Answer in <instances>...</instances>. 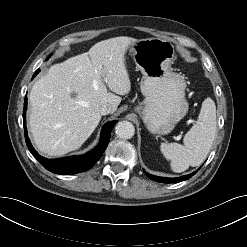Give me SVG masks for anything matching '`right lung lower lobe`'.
<instances>
[{
	"mask_svg": "<svg viewBox=\"0 0 247 247\" xmlns=\"http://www.w3.org/2000/svg\"><path fill=\"white\" fill-rule=\"evenodd\" d=\"M37 73H34L33 78L36 76ZM27 97H25L24 101V108H23V121H24V134H25V141L26 144L31 152V154L49 171L56 173V174H62V175H68V174H76L80 172H84L86 170H89L94 166V164L99 160V158L102 156L103 152L108 146L109 140H110V134L111 131L117 121H112L108 124H106L102 130L101 140L100 143L89 153L83 156H72V157H66L61 159H46L44 157H41L38 155V153L34 150L32 147L30 140L27 135V129H26V109H27Z\"/></svg>",
	"mask_w": 247,
	"mask_h": 247,
	"instance_id": "98d812e1",
	"label": "right lung lower lobe"
}]
</instances>
